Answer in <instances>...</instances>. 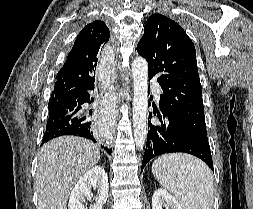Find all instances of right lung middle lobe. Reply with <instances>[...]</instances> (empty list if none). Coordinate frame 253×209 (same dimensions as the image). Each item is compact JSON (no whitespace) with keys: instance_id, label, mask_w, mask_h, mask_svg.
I'll use <instances>...</instances> for the list:
<instances>
[{"instance_id":"1","label":"right lung middle lobe","mask_w":253,"mask_h":209,"mask_svg":"<svg viewBox=\"0 0 253 209\" xmlns=\"http://www.w3.org/2000/svg\"><path fill=\"white\" fill-rule=\"evenodd\" d=\"M64 115V113L62 111H58V110H49V118H52V119H57V118H60Z\"/></svg>"}]
</instances>
